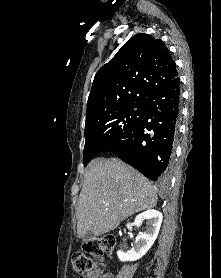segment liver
<instances>
[{"label":"liver","instance_id":"liver-1","mask_svg":"<svg viewBox=\"0 0 221 278\" xmlns=\"http://www.w3.org/2000/svg\"><path fill=\"white\" fill-rule=\"evenodd\" d=\"M154 185L118 158L92 160L76 208L77 235L95 236L116 229L129 216L155 207Z\"/></svg>","mask_w":221,"mask_h":278}]
</instances>
